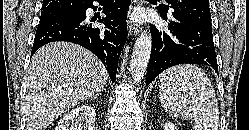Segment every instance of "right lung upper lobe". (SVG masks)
Instances as JSON below:
<instances>
[{
    "label": "right lung upper lobe",
    "instance_id": "cb5924a9",
    "mask_svg": "<svg viewBox=\"0 0 249 130\" xmlns=\"http://www.w3.org/2000/svg\"><path fill=\"white\" fill-rule=\"evenodd\" d=\"M90 0H43V11H64L85 6Z\"/></svg>",
    "mask_w": 249,
    "mask_h": 130
}]
</instances>
